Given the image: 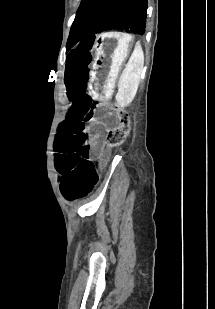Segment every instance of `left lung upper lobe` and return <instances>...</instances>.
<instances>
[{"instance_id":"1","label":"left lung upper lobe","mask_w":215,"mask_h":309,"mask_svg":"<svg viewBox=\"0 0 215 309\" xmlns=\"http://www.w3.org/2000/svg\"><path fill=\"white\" fill-rule=\"evenodd\" d=\"M147 0H82L71 27L67 46L112 29L137 34L146 31Z\"/></svg>"}]
</instances>
